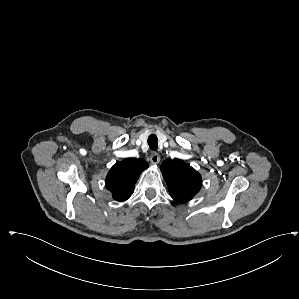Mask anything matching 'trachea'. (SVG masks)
Wrapping results in <instances>:
<instances>
[{
  "label": "trachea",
  "mask_w": 299,
  "mask_h": 299,
  "mask_svg": "<svg viewBox=\"0 0 299 299\" xmlns=\"http://www.w3.org/2000/svg\"><path fill=\"white\" fill-rule=\"evenodd\" d=\"M148 145L151 150L155 151L158 148V138L155 134H151L148 137Z\"/></svg>",
  "instance_id": "1"
}]
</instances>
